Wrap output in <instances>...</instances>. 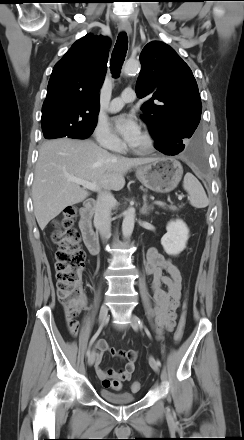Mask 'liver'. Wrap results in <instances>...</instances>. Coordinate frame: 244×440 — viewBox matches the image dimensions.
I'll return each mask as SVG.
<instances>
[{
    "instance_id": "1",
    "label": "liver",
    "mask_w": 244,
    "mask_h": 440,
    "mask_svg": "<svg viewBox=\"0 0 244 440\" xmlns=\"http://www.w3.org/2000/svg\"><path fill=\"white\" fill-rule=\"evenodd\" d=\"M156 158L112 155L91 140L68 138L46 141L39 149L32 185L34 214L41 230L68 206L84 201L89 192L71 179L95 182L100 188L119 191L124 175Z\"/></svg>"
}]
</instances>
